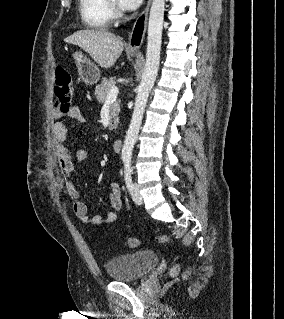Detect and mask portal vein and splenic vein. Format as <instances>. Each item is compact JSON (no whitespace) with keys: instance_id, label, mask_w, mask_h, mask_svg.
<instances>
[{"instance_id":"obj_1","label":"portal vein and splenic vein","mask_w":284,"mask_h":319,"mask_svg":"<svg viewBox=\"0 0 284 319\" xmlns=\"http://www.w3.org/2000/svg\"><path fill=\"white\" fill-rule=\"evenodd\" d=\"M119 89L117 87H112L110 92L107 95L106 103H110L116 100Z\"/></svg>"}]
</instances>
